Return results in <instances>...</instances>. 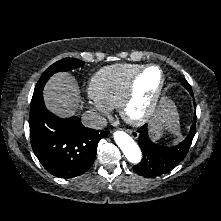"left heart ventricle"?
<instances>
[{"instance_id":"1","label":"left heart ventricle","mask_w":221,"mask_h":221,"mask_svg":"<svg viewBox=\"0 0 221 221\" xmlns=\"http://www.w3.org/2000/svg\"><path fill=\"white\" fill-rule=\"evenodd\" d=\"M159 81V71L155 68L149 69L139 78L136 87L137 98L131 108L132 114H138L147 107Z\"/></svg>"}]
</instances>
